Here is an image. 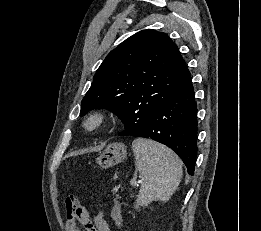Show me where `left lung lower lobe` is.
I'll return each mask as SVG.
<instances>
[{"label":"left lung lower lobe","instance_id":"left-lung-lower-lobe-1","mask_svg":"<svg viewBox=\"0 0 261 231\" xmlns=\"http://www.w3.org/2000/svg\"><path fill=\"white\" fill-rule=\"evenodd\" d=\"M197 105L190 81L158 108L142 127H130L119 136L151 138L171 148L193 174L197 157Z\"/></svg>","mask_w":261,"mask_h":231}]
</instances>
